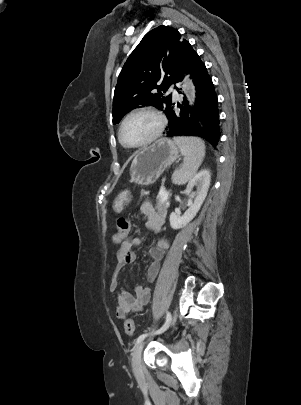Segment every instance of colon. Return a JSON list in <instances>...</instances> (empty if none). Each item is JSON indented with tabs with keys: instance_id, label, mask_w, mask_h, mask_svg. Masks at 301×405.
<instances>
[{
	"instance_id": "colon-1",
	"label": "colon",
	"mask_w": 301,
	"mask_h": 405,
	"mask_svg": "<svg viewBox=\"0 0 301 405\" xmlns=\"http://www.w3.org/2000/svg\"><path fill=\"white\" fill-rule=\"evenodd\" d=\"M117 232L111 237V242L114 247H120L124 242V238L128 235L131 230L132 223L130 220L120 217L116 222ZM124 329L127 335L133 336L135 333V325L131 318H127L124 322Z\"/></svg>"
}]
</instances>
